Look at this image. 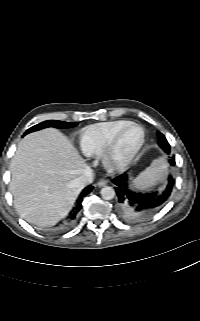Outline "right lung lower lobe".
Here are the masks:
<instances>
[{
  "instance_id": "1",
  "label": "right lung lower lobe",
  "mask_w": 200,
  "mask_h": 321,
  "mask_svg": "<svg viewBox=\"0 0 200 321\" xmlns=\"http://www.w3.org/2000/svg\"><path fill=\"white\" fill-rule=\"evenodd\" d=\"M93 189V186H88L87 188L84 189V191L81 193L76 206L74 207V209L72 210V212L70 213L69 217H68V222L71 223L75 220L78 212L80 211L81 207H82V198L84 196H86L87 194H89Z\"/></svg>"
}]
</instances>
